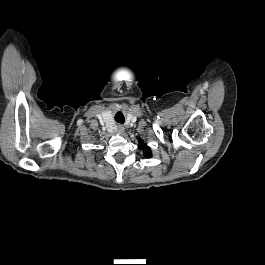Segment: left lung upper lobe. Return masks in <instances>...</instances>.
<instances>
[{
  "mask_svg": "<svg viewBox=\"0 0 265 265\" xmlns=\"http://www.w3.org/2000/svg\"><path fill=\"white\" fill-rule=\"evenodd\" d=\"M139 148L143 149V153L146 157L150 158L152 156L150 148L146 144H144L143 142H140Z\"/></svg>",
  "mask_w": 265,
  "mask_h": 265,
  "instance_id": "left-lung-upper-lobe-1",
  "label": "left lung upper lobe"
}]
</instances>
